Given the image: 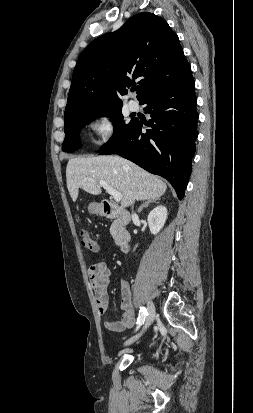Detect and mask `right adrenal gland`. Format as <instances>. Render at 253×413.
<instances>
[{"label": "right adrenal gland", "mask_w": 253, "mask_h": 413, "mask_svg": "<svg viewBox=\"0 0 253 413\" xmlns=\"http://www.w3.org/2000/svg\"><path fill=\"white\" fill-rule=\"evenodd\" d=\"M158 200H159V198H158V199H149V200H147L146 202H144V203L139 207L138 213H141L142 210H143V208L148 207L151 203L157 202Z\"/></svg>", "instance_id": "right-adrenal-gland-1"}]
</instances>
